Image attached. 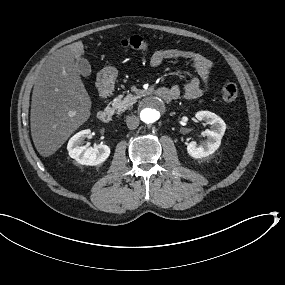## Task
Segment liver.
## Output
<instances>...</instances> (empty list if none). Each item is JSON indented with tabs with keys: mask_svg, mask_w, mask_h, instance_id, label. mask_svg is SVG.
<instances>
[{
	"mask_svg": "<svg viewBox=\"0 0 285 285\" xmlns=\"http://www.w3.org/2000/svg\"><path fill=\"white\" fill-rule=\"evenodd\" d=\"M84 54L81 41L55 51L36 79L31 103V136L43 157L53 155L90 117L92 102L75 60Z\"/></svg>",
	"mask_w": 285,
	"mask_h": 285,
	"instance_id": "liver-1",
	"label": "liver"
}]
</instances>
